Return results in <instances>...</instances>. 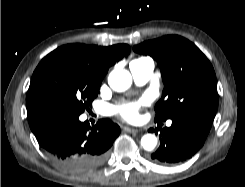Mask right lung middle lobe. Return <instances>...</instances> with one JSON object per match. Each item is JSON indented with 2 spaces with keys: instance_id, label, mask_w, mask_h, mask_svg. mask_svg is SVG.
<instances>
[{
  "instance_id": "right-lung-middle-lobe-1",
  "label": "right lung middle lobe",
  "mask_w": 245,
  "mask_h": 187,
  "mask_svg": "<svg viewBox=\"0 0 245 187\" xmlns=\"http://www.w3.org/2000/svg\"><path fill=\"white\" fill-rule=\"evenodd\" d=\"M101 82L79 53L57 48L32 75L26 96L29 123L54 112L80 115L91 106Z\"/></svg>"
}]
</instances>
